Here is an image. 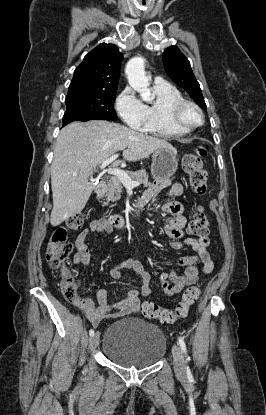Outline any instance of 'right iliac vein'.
<instances>
[{
  "label": "right iliac vein",
  "instance_id": "1",
  "mask_svg": "<svg viewBox=\"0 0 266 415\" xmlns=\"http://www.w3.org/2000/svg\"><path fill=\"white\" fill-rule=\"evenodd\" d=\"M99 344V334L96 333L90 338V347L92 349L96 348Z\"/></svg>",
  "mask_w": 266,
  "mask_h": 415
}]
</instances>
